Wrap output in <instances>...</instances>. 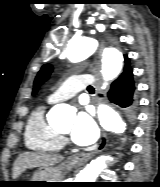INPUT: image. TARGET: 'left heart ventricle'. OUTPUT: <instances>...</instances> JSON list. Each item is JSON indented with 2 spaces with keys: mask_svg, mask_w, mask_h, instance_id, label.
Here are the masks:
<instances>
[{
  "mask_svg": "<svg viewBox=\"0 0 160 187\" xmlns=\"http://www.w3.org/2000/svg\"><path fill=\"white\" fill-rule=\"evenodd\" d=\"M71 126H67L65 129L61 130L62 134H67L70 131Z\"/></svg>",
  "mask_w": 160,
  "mask_h": 187,
  "instance_id": "left-heart-ventricle-1",
  "label": "left heart ventricle"
}]
</instances>
